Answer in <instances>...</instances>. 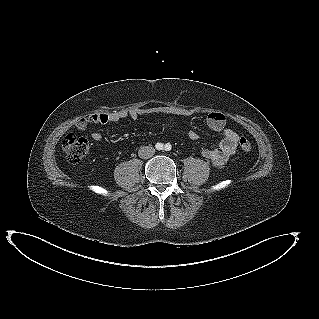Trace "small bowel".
<instances>
[{
	"label": "small bowel",
	"mask_w": 319,
	"mask_h": 319,
	"mask_svg": "<svg viewBox=\"0 0 319 319\" xmlns=\"http://www.w3.org/2000/svg\"><path fill=\"white\" fill-rule=\"evenodd\" d=\"M149 114L173 115L186 119L190 117L192 113L189 110L172 106H153L130 110L122 109L91 114L79 121L76 124V128L80 131H84L91 124L116 123L124 119L137 120L140 116ZM206 123L211 130L221 133L222 139L216 148H203L201 153L212 165L221 166L235 153L239 136L234 130L226 127V117L219 111L208 113ZM187 137L191 141H195L199 138L197 132L194 130H188ZM91 138L95 143H100L102 135L100 132H93Z\"/></svg>",
	"instance_id": "obj_1"
}]
</instances>
